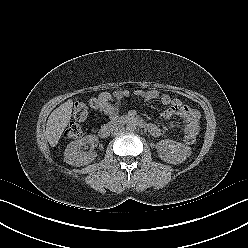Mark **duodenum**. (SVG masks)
<instances>
[{
    "mask_svg": "<svg viewBox=\"0 0 248 248\" xmlns=\"http://www.w3.org/2000/svg\"><path fill=\"white\" fill-rule=\"evenodd\" d=\"M125 124H134L140 128L148 127V124L144 120L136 116L129 115L115 118L110 124L104 125L100 129L99 134L102 138H108L115 128Z\"/></svg>",
    "mask_w": 248,
    "mask_h": 248,
    "instance_id": "410a0bca",
    "label": "duodenum"
}]
</instances>
